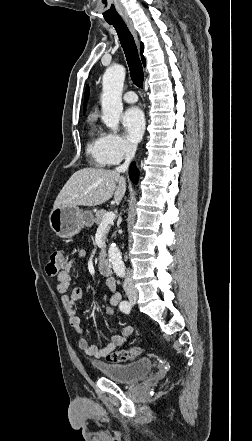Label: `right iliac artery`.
<instances>
[{
	"label": "right iliac artery",
	"mask_w": 252,
	"mask_h": 441,
	"mask_svg": "<svg viewBox=\"0 0 252 441\" xmlns=\"http://www.w3.org/2000/svg\"><path fill=\"white\" fill-rule=\"evenodd\" d=\"M126 304H130L128 301H122L121 302V304H120V310L122 311V312H124V313H126V311H125V306H126Z\"/></svg>",
	"instance_id": "obj_1"
}]
</instances>
